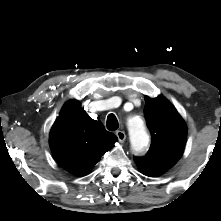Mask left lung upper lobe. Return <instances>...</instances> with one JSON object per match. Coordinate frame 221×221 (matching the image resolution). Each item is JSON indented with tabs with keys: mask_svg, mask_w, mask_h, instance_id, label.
<instances>
[{
	"mask_svg": "<svg viewBox=\"0 0 221 221\" xmlns=\"http://www.w3.org/2000/svg\"><path fill=\"white\" fill-rule=\"evenodd\" d=\"M144 115L152 136L150 150L143 157H134L143 174L154 177L163 174L180 159L186 141V125L162 96L145 97Z\"/></svg>",
	"mask_w": 221,
	"mask_h": 221,
	"instance_id": "1",
	"label": "left lung upper lobe"
}]
</instances>
